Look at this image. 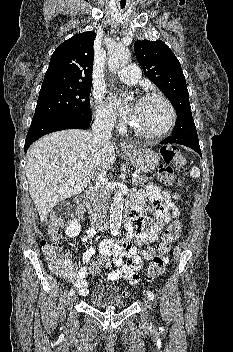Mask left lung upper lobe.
I'll use <instances>...</instances> for the list:
<instances>
[{
	"mask_svg": "<svg viewBox=\"0 0 233 352\" xmlns=\"http://www.w3.org/2000/svg\"><path fill=\"white\" fill-rule=\"evenodd\" d=\"M136 58L145 75L164 93L175 107V139L198 137L189 103V93L179 60L163 41H137Z\"/></svg>",
	"mask_w": 233,
	"mask_h": 352,
	"instance_id": "1",
	"label": "left lung upper lobe"
}]
</instances>
